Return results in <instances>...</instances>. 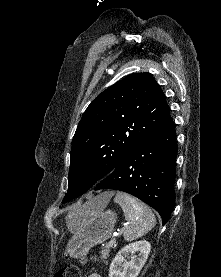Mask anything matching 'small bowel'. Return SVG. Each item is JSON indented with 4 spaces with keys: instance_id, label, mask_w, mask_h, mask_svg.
<instances>
[{
    "instance_id": "1",
    "label": "small bowel",
    "mask_w": 221,
    "mask_h": 277,
    "mask_svg": "<svg viewBox=\"0 0 221 277\" xmlns=\"http://www.w3.org/2000/svg\"><path fill=\"white\" fill-rule=\"evenodd\" d=\"M87 277H101V276L97 273H90Z\"/></svg>"
}]
</instances>
